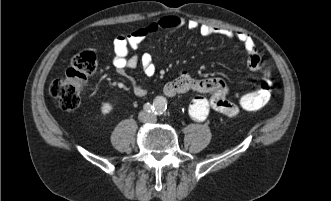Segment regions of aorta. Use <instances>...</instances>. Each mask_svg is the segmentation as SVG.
<instances>
[{
	"instance_id": "obj_1",
	"label": "aorta",
	"mask_w": 331,
	"mask_h": 201,
	"mask_svg": "<svg viewBox=\"0 0 331 201\" xmlns=\"http://www.w3.org/2000/svg\"><path fill=\"white\" fill-rule=\"evenodd\" d=\"M153 107L155 109L156 112H162L164 111L165 107H166V101L165 99L158 97L154 100L153 102Z\"/></svg>"
}]
</instances>
